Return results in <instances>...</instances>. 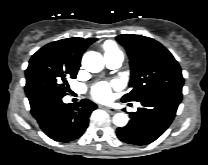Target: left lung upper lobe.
I'll return each instance as SVG.
<instances>
[{"instance_id":"5c2ea615","label":"left lung upper lobe","mask_w":208,"mask_h":165,"mask_svg":"<svg viewBox=\"0 0 208 165\" xmlns=\"http://www.w3.org/2000/svg\"><path fill=\"white\" fill-rule=\"evenodd\" d=\"M116 39L126 48L131 67V92L123 102L143 101L159 93L182 94L184 78L172 54L159 42L140 35L123 34Z\"/></svg>"}]
</instances>
